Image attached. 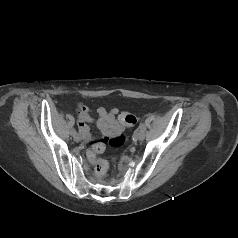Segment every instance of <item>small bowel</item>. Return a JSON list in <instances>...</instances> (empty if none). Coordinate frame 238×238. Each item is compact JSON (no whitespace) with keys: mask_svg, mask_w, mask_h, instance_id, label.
Here are the masks:
<instances>
[{"mask_svg":"<svg viewBox=\"0 0 238 238\" xmlns=\"http://www.w3.org/2000/svg\"><path fill=\"white\" fill-rule=\"evenodd\" d=\"M97 113L99 117L96 124L105 138L103 141H98L96 138L90 135L88 123L93 122L90 109L82 104L77 106L78 126L80 132L86 143L91 145L92 148L101 142H106L108 140L120 137L124 127H129L118 122L117 118L120 113L117 108H113L108 111L105 108L100 107L97 109Z\"/></svg>","mask_w":238,"mask_h":238,"instance_id":"obj_1","label":"small bowel"}]
</instances>
